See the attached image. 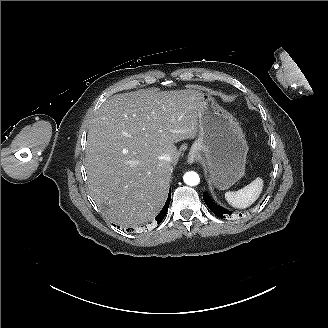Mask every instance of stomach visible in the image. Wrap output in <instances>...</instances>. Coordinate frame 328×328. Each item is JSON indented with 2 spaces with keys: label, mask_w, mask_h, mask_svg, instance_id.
Returning <instances> with one entry per match:
<instances>
[{
  "label": "stomach",
  "mask_w": 328,
  "mask_h": 328,
  "mask_svg": "<svg viewBox=\"0 0 328 328\" xmlns=\"http://www.w3.org/2000/svg\"><path fill=\"white\" fill-rule=\"evenodd\" d=\"M202 97L200 132L190 159L203 152L211 181L219 190H226L244 175L249 148L235 117L217 105L209 91H203Z\"/></svg>",
  "instance_id": "1"
}]
</instances>
